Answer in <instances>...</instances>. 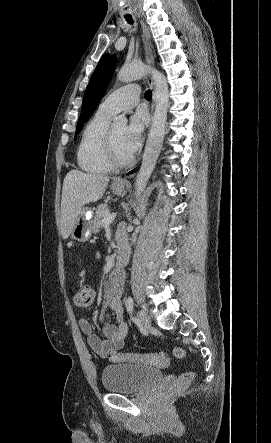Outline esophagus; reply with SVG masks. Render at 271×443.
Instances as JSON below:
<instances>
[{"label": "esophagus", "mask_w": 271, "mask_h": 443, "mask_svg": "<svg viewBox=\"0 0 271 443\" xmlns=\"http://www.w3.org/2000/svg\"><path fill=\"white\" fill-rule=\"evenodd\" d=\"M141 27L143 31V44H144V51H145V57L146 61L150 66L154 65V55L152 51V43H151V36L149 33V30L147 29L146 25L141 21ZM148 84L150 87L153 88V94H152V103H151V113L154 110L155 107V100H156V94L154 90V78L152 76H148ZM115 183H119L121 185L128 184V182H125L123 180H115Z\"/></svg>", "instance_id": "obj_1"}]
</instances>
